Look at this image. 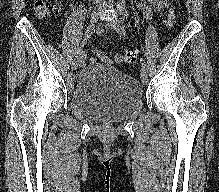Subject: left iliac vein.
I'll return each mask as SVG.
<instances>
[{
    "label": "left iliac vein",
    "instance_id": "1",
    "mask_svg": "<svg viewBox=\"0 0 219 192\" xmlns=\"http://www.w3.org/2000/svg\"><path fill=\"white\" fill-rule=\"evenodd\" d=\"M106 25L109 28L113 29L118 34H121L120 33V28H121L120 20H118V19L109 20V21L106 22ZM140 76L142 78V83L143 84H147V82H148V79H147L148 78L147 68H144V67L141 68Z\"/></svg>",
    "mask_w": 219,
    "mask_h": 192
}]
</instances>
